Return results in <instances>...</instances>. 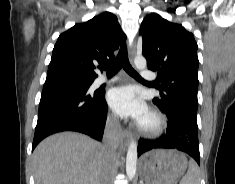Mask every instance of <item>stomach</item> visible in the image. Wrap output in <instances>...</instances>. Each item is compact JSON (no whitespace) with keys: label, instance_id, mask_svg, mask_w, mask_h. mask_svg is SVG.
Instances as JSON below:
<instances>
[{"label":"stomach","instance_id":"obj_1","mask_svg":"<svg viewBox=\"0 0 235 184\" xmlns=\"http://www.w3.org/2000/svg\"><path fill=\"white\" fill-rule=\"evenodd\" d=\"M141 178L146 184H177L187 168V158L177 150H153L141 158Z\"/></svg>","mask_w":235,"mask_h":184}]
</instances>
